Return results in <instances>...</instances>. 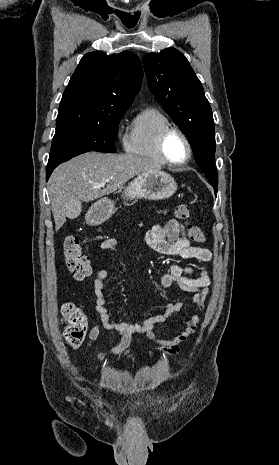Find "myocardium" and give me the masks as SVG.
I'll list each match as a JSON object with an SVG mask.
<instances>
[{
  "mask_svg": "<svg viewBox=\"0 0 279 465\" xmlns=\"http://www.w3.org/2000/svg\"><path fill=\"white\" fill-rule=\"evenodd\" d=\"M178 133L184 140L186 146H187V156L186 158L181 161V162H174L172 161L171 159H169V157L167 156L166 152H165V143H166V140L168 138V136L171 134V133ZM157 148H158V152L160 154V156L162 157V159L165 161V163L171 165V166H175V167H180V166H184L186 165L191 157H192V153H193V148H192V144H191V141L189 139V137L187 136V134L179 127L177 126H169L167 128H165L159 135L158 137V141H157Z\"/></svg>",
  "mask_w": 279,
  "mask_h": 465,
  "instance_id": "myocardium-1",
  "label": "myocardium"
}]
</instances>
